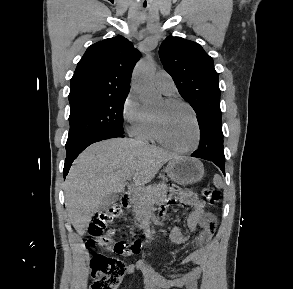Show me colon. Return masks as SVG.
Instances as JSON below:
<instances>
[{"mask_svg":"<svg viewBox=\"0 0 293 289\" xmlns=\"http://www.w3.org/2000/svg\"><path fill=\"white\" fill-rule=\"evenodd\" d=\"M173 191L176 194H180L182 189L174 186ZM202 194L211 205L219 202L220 194L216 190L204 188ZM174 202L172 201L163 206L160 209V215H166ZM121 212V205L116 203L95 215L89 225L90 238L87 241V245L91 247L95 244H100L106 247L110 253L124 257L140 254L142 242L139 239L115 242L111 233H105L106 228L120 216ZM127 269L126 264L120 259L105 254H97L91 260L93 278L91 289H116Z\"/></svg>","mask_w":293,"mask_h":289,"instance_id":"colon-1","label":"colon"}]
</instances>
